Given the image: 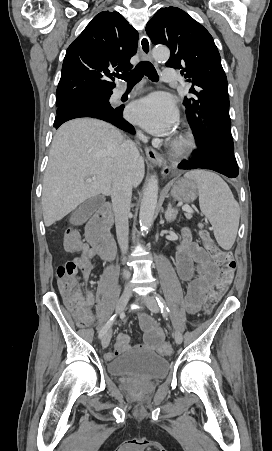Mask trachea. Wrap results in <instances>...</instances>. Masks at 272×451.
<instances>
[{"instance_id":"obj_1","label":"trachea","mask_w":272,"mask_h":451,"mask_svg":"<svg viewBox=\"0 0 272 451\" xmlns=\"http://www.w3.org/2000/svg\"><path fill=\"white\" fill-rule=\"evenodd\" d=\"M144 75H146L153 82H156L159 78L156 69L150 62H140L134 70L128 73H122V75H119L118 78L125 80L128 85H135Z\"/></svg>"}]
</instances>
